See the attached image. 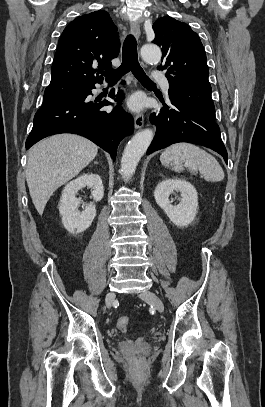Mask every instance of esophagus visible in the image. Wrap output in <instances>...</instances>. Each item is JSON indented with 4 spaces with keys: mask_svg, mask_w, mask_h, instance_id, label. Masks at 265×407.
<instances>
[{
    "mask_svg": "<svg viewBox=\"0 0 265 407\" xmlns=\"http://www.w3.org/2000/svg\"><path fill=\"white\" fill-rule=\"evenodd\" d=\"M130 28H131V32L134 35V37L136 39H139L140 34H141L139 23L136 22V21H131L130 22ZM143 124H144V115L142 113H139V114H137L135 116V119H134L135 129L142 128Z\"/></svg>",
    "mask_w": 265,
    "mask_h": 407,
    "instance_id": "esophagus-1",
    "label": "esophagus"
}]
</instances>
